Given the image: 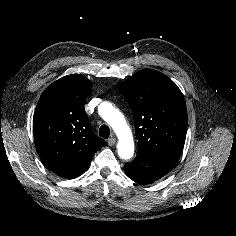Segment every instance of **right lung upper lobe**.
Listing matches in <instances>:
<instances>
[{
  "label": "right lung upper lobe",
  "mask_w": 236,
  "mask_h": 236,
  "mask_svg": "<svg viewBox=\"0 0 236 236\" xmlns=\"http://www.w3.org/2000/svg\"><path fill=\"white\" fill-rule=\"evenodd\" d=\"M91 89V82L79 74L64 76L44 90L33 116L41 160L66 179L83 173L95 152L107 144L88 123L84 102Z\"/></svg>",
  "instance_id": "1"
}]
</instances>
